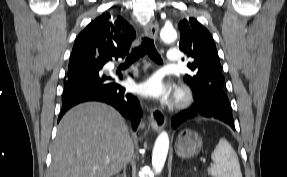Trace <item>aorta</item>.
<instances>
[{
    "label": "aorta",
    "mask_w": 287,
    "mask_h": 177,
    "mask_svg": "<svg viewBox=\"0 0 287 177\" xmlns=\"http://www.w3.org/2000/svg\"><path fill=\"white\" fill-rule=\"evenodd\" d=\"M160 37L165 42H172L176 39L177 33L172 27H164L160 32ZM169 150L168 133L161 132L156 141L152 152V166L156 173H161Z\"/></svg>",
    "instance_id": "obj_1"
}]
</instances>
